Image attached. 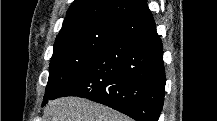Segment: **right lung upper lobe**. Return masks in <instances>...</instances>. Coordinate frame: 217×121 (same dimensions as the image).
<instances>
[{
  "label": "right lung upper lobe",
  "instance_id": "right-lung-upper-lobe-1",
  "mask_svg": "<svg viewBox=\"0 0 217 121\" xmlns=\"http://www.w3.org/2000/svg\"><path fill=\"white\" fill-rule=\"evenodd\" d=\"M147 8L146 0H75L67 11L59 35L94 20L112 19L127 23Z\"/></svg>",
  "mask_w": 217,
  "mask_h": 121
}]
</instances>
